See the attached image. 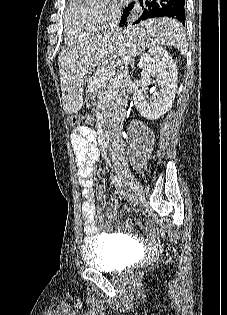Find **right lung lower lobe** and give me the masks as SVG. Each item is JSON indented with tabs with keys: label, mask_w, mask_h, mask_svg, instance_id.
<instances>
[{
	"label": "right lung lower lobe",
	"mask_w": 227,
	"mask_h": 315,
	"mask_svg": "<svg viewBox=\"0 0 227 315\" xmlns=\"http://www.w3.org/2000/svg\"><path fill=\"white\" fill-rule=\"evenodd\" d=\"M143 9V13L140 18L134 23H138L141 20H145L153 17H172L181 22L185 21L184 0H139ZM133 3L129 4V7L125 8L120 26H124L129 15V11L133 8Z\"/></svg>",
	"instance_id": "right-lung-lower-lobe-1"
}]
</instances>
